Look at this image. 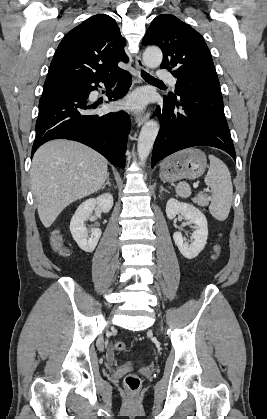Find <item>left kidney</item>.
Segmentation results:
<instances>
[{
    "label": "left kidney",
    "instance_id": "left-kidney-1",
    "mask_svg": "<svg viewBox=\"0 0 267 419\" xmlns=\"http://www.w3.org/2000/svg\"><path fill=\"white\" fill-rule=\"evenodd\" d=\"M194 226L192 233L193 242L189 245L184 242L182 234L175 232L173 239L181 254L187 259H193L204 249L208 237L207 219L205 215L194 205L171 198L166 204V214L169 219H173L177 214Z\"/></svg>",
    "mask_w": 267,
    "mask_h": 419
}]
</instances>
